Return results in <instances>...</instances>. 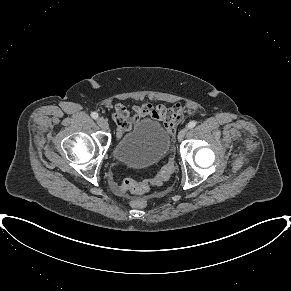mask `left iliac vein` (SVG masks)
<instances>
[{
    "mask_svg": "<svg viewBox=\"0 0 291 291\" xmlns=\"http://www.w3.org/2000/svg\"><path fill=\"white\" fill-rule=\"evenodd\" d=\"M188 129L184 128L178 133V140L182 141L187 133Z\"/></svg>",
    "mask_w": 291,
    "mask_h": 291,
    "instance_id": "left-iliac-vein-1",
    "label": "left iliac vein"
}]
</instances>
